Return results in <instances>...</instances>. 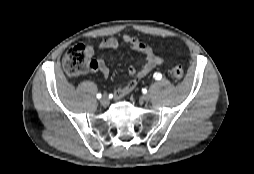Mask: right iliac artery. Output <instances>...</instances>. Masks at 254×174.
Here are the masks:
<instances>
[{"instance_id": "right-iliac-artery-1", "label": "right iliac artery", "mask_w": 254, "mask_h": 174, "mask_svg": "<svg viewBox=\"0 0 254 174\" xmlns=\"http://www.w3.org/2000/svg\"><path fill=\"white\" fill-rule=\"evenodd\" d=\"M97 98H98V99L101 98V94H100V93L97 94Z\"/></svg>"}]
</instances>
